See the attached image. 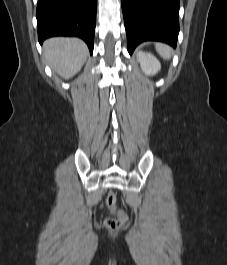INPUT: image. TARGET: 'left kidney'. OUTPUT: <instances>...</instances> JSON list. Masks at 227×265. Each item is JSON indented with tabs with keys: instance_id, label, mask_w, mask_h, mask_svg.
Segmentation results:
<instances>
[{
	"instance_id": "obj_1",
	"label": "left kidney",
	"mask_w": 227,
	"mask_h": 265,
	"mask_svg": "<svg viewBox=\"0 0 227 265\" xmlns=\"http://www.w3.org/2000/svg\"><path fill=\"white\" fill-rule=\"evenodd\" d=\"M137 58L146 75H155L161 69L160 62L150 53L139 52Z\"/></svg>"
}]
</instances>
